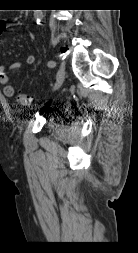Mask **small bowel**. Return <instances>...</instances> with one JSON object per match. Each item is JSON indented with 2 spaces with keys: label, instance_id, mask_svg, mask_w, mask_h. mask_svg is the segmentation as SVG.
I'll use <instances>...</instances> for the list:
<instances>
[{
  "label": "small bowel",
  "instance_id": "small-bowel-1",
  "mask_svg": "<svg viewBox=\"0 0 138 253\" xmlns=\"http://www.w3.org/2000/svg\"><path fill=\"white\" fill-rule=\"evenodd\" d=\"M7 23L4 20H0V34L6 28ZM26 64H33L35 62V56L33 53H28L25 57ZM22 64L20 62H15L10 64L8 67L0 64V84L3 85V93L7 97H13L15 94V88L10 83L9 71H15L21 68Z\"/></svg>",
  "mask_w": 138,
  "mask_h": 253
}]
</instances>
